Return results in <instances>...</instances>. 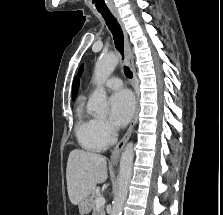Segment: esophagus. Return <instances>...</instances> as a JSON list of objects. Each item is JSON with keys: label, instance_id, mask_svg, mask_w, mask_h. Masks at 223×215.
<instances>
[{"label": "esophagus", "instance_id": "esophagus-1", "mask_svg": "<svg viewBox=\"0 0 223 215\" xmlns=\"http://www.w3.org/2000/svg\"><path fill=\"white\" fill-rule=\"evenodd\" d=\"M110 10H111V13L114 15V17L116 18L117 22L119 23V25L122 29L123 35H124L125 63H126V65H128V67L131 68V70L133 71V73L135 75L133 52H132L130 44H129L128 35L126 32L123 20L120 17V14L117 9L110 8ZM139 98H140L139 92L136 91L135 92V109H134L133 118L130 122L127 132L125 133L123 138L119 141V143H117L116 147H114V150L112 151V154L110 157V163H112L114 165L117 164L120 154L132 134L133 127L135 125V121H136V118L138 115V110H139Z\"/></svg>", "mask_w": 223, "mask_h": 215}]
</instances>
